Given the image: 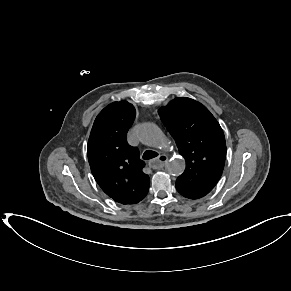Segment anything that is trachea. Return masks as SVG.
<instances>
[{
    "label": "trachea",
    "mask_w": 291,
    "mask_h": 291,
    "mask_svg": "<svg viewBox=\"0 0 291 291\" xmlns=\"http://www.w3.org/2000/svg\"><path fill=\"white\" fill-rule=\"evenodd\" d=\"M156 156H158V153L151 151V150H147L143 154V159L148 160V159L154 158Z\"/></svg>",
    "instance_id": "trachea-1"
}]
</instances>
